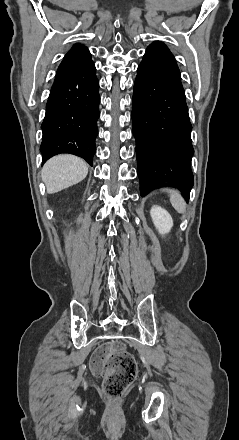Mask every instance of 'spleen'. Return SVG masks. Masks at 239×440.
<instances>
[{"instance_id":"spleen-1","label":"spleen","mask_w":239,"mask_h":440,"mask_svg":"<svg viewBox=\"0 0 239 440\" xmlns=\"http://www.w3.org/2000/svg\"><path fill=\"white\" fill-rule=\"evenodd\" d=\"M163 192H167V194H169L170 202L173 208H175L179 214H185L186 202L184 198H182L180 192H178V190H168V188H165Z\"/></svg>"}]
</instances>
